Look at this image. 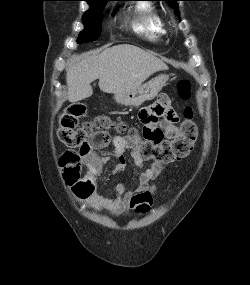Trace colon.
Returning <instances> with one entry per match:
<instances>
[{"instance_id": "colon-1", "label": "colon", "mask_w": 250, "mask_h": 285, "mask_svg": "<svg viewBox=\"0 0 250 285\" xmlns=\"http://www.w3.org/2000/svg\"><path fill=\"white\" fill-rule=\"evenodd\" d=\"M178 93L184 100L189 99L190 83L181 80L178 83ZM87 106L82 102L71 104L60 119L58 137L62 143L71 148L84 147L91 137L97 142L106 143L109 139L106 130L115 129L126 134L133 141L139 140L137 154L142 160H154L169 163L184 158L192 150L198 135V129L191 118L189 110L185 113V120L181 123L179 132L165 144H152V141H141L137 131L123 122L111 121L104 115H99L91 121L80 125L81 119L86 116ZM144 136V130H143ZM65 170V176L70 184L79 180V156L73 151H67L60 160Z\"/></svg>"}]
</instances>
